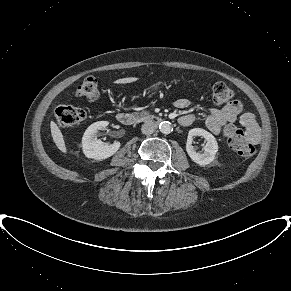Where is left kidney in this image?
Wrapping results in <instances>:
<instances>
[{
	"label": "left kidney",
	"mask_w": 291,
	"mask_h": 291,
	"mask_svg": "<svg viewBox=\"0 0 291 291\" xmlns=\"http://www.w3.org/2000/svg\"><path fill=\"white\" fill-rule=\"evenodd\" d=\"M195 136H202L206 140L204 152L198 153L192 146L193 138ZM186 151L189 157L200 166H205L211 163L218 151V143L215 137L208 131L201 128H193L189 131L186 143Z\"/></svg>",
	"instance_id": "left-kidney-1"
}]
</instances>
